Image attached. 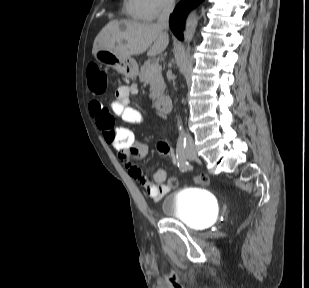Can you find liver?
<instances>
[{"instance_id": "1", "label": "liver", "mask_w": 309, "mask_h": 288, "mask_svg": "<svg viewBox=\"0 0 309 288\" xmlns=\"http://www.w3.org/2000/svg\"><path fill=\"white\" fill-rule=\"evenodd\" d=\"M169 43V36L155 23H138L128 20L110 21L96 36L92 53L101 49L131 57L148 49V56L162 53Z\"/></svg>"}]
</instances>
